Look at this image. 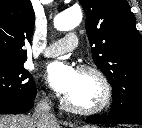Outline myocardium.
<instances>
[{
    "mask_svg": "<svg viewBox=\"0 0 142 128\" xmlns=\"http://www.w3.org/2000/svg\"><path fill=\"white\" fill-rule=\"evenodd\" d=\"M79 72L90 75L97 80L101 87V98L95 105L84 107L71 102L67 97H65L62 101L63 106L72 112L83 115H93L107 109L111 104L113 91L106 75L100 69L91 65H81Z\"/></svg>",
    "mask_w": 142,
    "mask_h": 128,
    "instance_id": "1",
    "label": "myocardium"
}]
</instances>
